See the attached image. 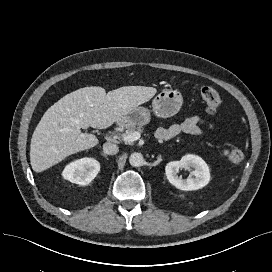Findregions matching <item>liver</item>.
I'll use <instances>...</instances> for the list:
<instances>
[{
	"label": "liver",
	"mask_w": 272,
	"mask_h": 272,
	"mask_svg": "<svg viewBox=\"0 0 272 272\" xmlns=\"http://www.w3.org/2000/svg\"><path fill=\"white\" fill-rule=\"evenodd\" d=\"M156 92L153 87L124 86L106 93L102 87L91 86L65 95L44 113L32 135V169L43 172L69 155L93 148L99 140L81 128L105 129Z\"/></svg>",
	"instance_id": "1"
}]
</instances>
